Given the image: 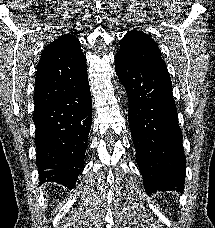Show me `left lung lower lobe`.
I'll return each mask as SVG.
<instances>
[{"instance_id": "0a47b994", "label": "left lung lower lobe", "mask_w": 215, "mask_h": 228, "mask_svg": "<svg viewBox=\"0 0 215 228\" xmlns=\"http://www.w3.org/2000/svg\"><path fill=\"white\" fill-rule=\"evenodd\" d=\"M115 71L129 96V125L146 193H183L182 132L165 62L139 63L116 54Z\"/></svg>"}]
</instances>
